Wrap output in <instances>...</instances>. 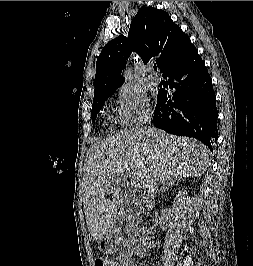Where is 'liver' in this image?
Instances as JSON below:
<instances>
[{
    "label": "liver",
    "mask_w": 253,
    "mask_h": 266,
    "mask_svg": "<svg viewBox=\"0 0 253 266\" xmlns=\"http://www.w3.org/2000/svg\"><path fill=\"white\" fill-rule=\"evenodd\" d=\"M208 156L206 147L197 140L156 128L146 134L145 129L135 127L93 144L87 152L82 182L87 226L93 239L103 238L125 215L118 180L131 177L147 187L156 179L159 183L179 175L197 177ZM108 194H112L111 199Z\"/></svg>",
    "instance_id": "liver-1"
}]
</instances>
